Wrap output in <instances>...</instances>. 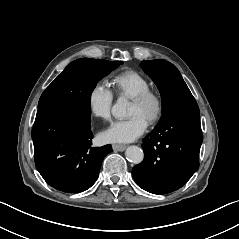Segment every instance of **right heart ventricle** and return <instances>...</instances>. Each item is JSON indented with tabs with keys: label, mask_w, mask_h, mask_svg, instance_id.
Masks as SVG:
<instances>
[{
	"label": "right heart ventricle",
	"mask_w": 239,
	"mask_h": 239,
	"mask_svg": "<svg viewBox=\"0 0 239 239\" xmlns=\"http://www.w3.org/2000/svg\"><path fill=\"white\" fill-rule=\"evenodd\" d=\"M113 85L122 96L133 97L150 88L149 79L136 70H127L112 77Z\"/></svg>",
	"instance_id": "obj_1"
}]
</instances>
